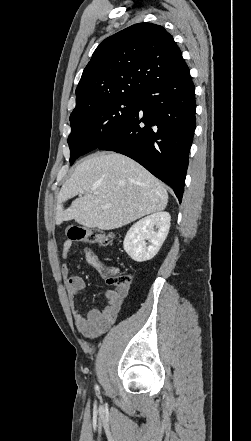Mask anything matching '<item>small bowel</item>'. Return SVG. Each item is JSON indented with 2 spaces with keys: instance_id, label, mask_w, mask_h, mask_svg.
<instances>
[{
  "instance_id": "small-bowel-1",
  "label": "small bowel",
  "mask_w": 251,
  "mask_h": 441,
  "mask_svg": "<svg viewBox=\"0 0 251 441\" xmlns=\"http://www.w3.org/2000/svg\"><path fill=\"white\" fill-rule=\"evenodd\" d=\"M72 247L71 241H65L61 248L63 258H68ZM87 262L100 274L106 269L91 248L85 249ZM62 274L66 278V287L71 298L75 325L78 331L88 338H94L106 332L116 321L121 310L128 287H115L105 291V305L103 308H94L82 312L74 303L75 296L86 287L82 277L72 273L68 264L62 267Z\"/></svg>"
}]
</instances>
